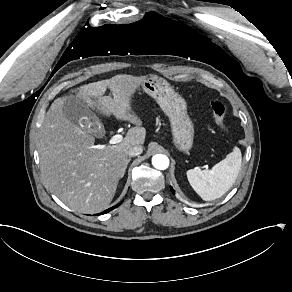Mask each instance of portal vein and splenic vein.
I'll return each mask as SVG.
<instances>
[{
	"instance_id": "1",
	"label": "portal vein and splenic vein",
	"mask_w": 292,
	"mask_h": 292,
	"mask_svg": "<svg viewBox=\"0 0 292 292\" xmlns=\"http://www.w3.org/2000/svg\"><path fill=\"white\" fill-rule=\"evenodd\" d=\"M122 137L121 135L115 134L111 137V139L108 141L109 145H114L116 143H119L121 141Z\"/></svg>"
}]
</instances>
